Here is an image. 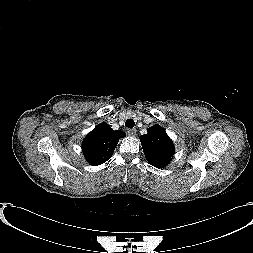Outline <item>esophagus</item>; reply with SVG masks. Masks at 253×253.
<instances>
[{"instance_id": "34e87169", "label": "esophagus", "mask_w": 253, "mask_h": 253, "mask_svg": "<svg viewBox=\"0 0 253 253\" xmlns=\"http://www.w3.org/2000/svg\"><path fill=\"white\" fill-rule=\"evenodd\" d=\"M127 133L129 136H135L136 135V130L135 129H128Z\"/></svg>"}]
</instances>
